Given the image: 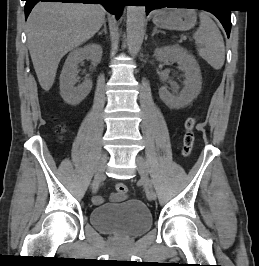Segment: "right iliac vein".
Instances as JSON below:
<instances>
[{"mask_svg": "<svg viewBox=\"0 0 259 266\" xmlns=\"http://www.w3.org/2000/svg\"><path fill=\"white\" fill-rule=\"evenodd\" d=\"M107 159H108L107 154L103 153L101 155V158H100V161L98 163V166H97V169H96V172H95V176H94V179H93V182H92V185H91L93 193H96L98 191L99 185H100L101 181L104 178V172H105V169H106Z\"/></svg>", "mask_w": 259, "mask_h": 266, "instance_id": "obj_1", "label": "right iliac vein"}]
</instances>
